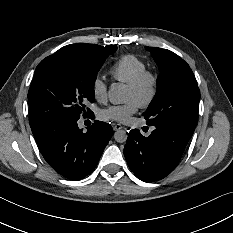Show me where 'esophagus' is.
<instances>
[{"label": "esophagus", "instance_id": "esophagus-1", "mask_svg": "<svg viewBox=\"0 0 233 233\" xmlns=\"http://www.w3.org/2000/svg\"><path fill=\"white\" fill-rule=\"evenodd\" d=\"M112 127H113L114 131H118V130L123 128V126L121 124H118V123H113Z\"/></svg>", "mask_w": 233, "mask_h": 233}]
</instances>
